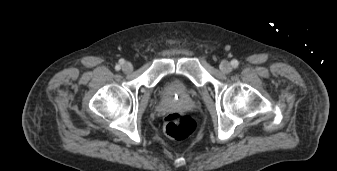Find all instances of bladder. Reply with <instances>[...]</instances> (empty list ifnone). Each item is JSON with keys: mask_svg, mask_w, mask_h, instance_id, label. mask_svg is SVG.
I'll return each mask as SVG.
<instances>
[{"mask_svg": "<svg viewBox=\"0 0 337 171\" xmlns=\"http://www.w3.org/2000/svg\"><path fill=\"white\" fill-rule=\"evenodd\" d=\"M165 93L169 94L170 93V88H165Z\"/></svg>", "mask_w": 337, "mask_h": 171, "instance_id": "1", "label": "bladder"}]
</instances>
